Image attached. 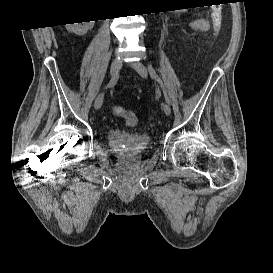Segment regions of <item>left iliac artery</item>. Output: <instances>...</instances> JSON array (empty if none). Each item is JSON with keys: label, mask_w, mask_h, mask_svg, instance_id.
<instances>
[{"label": "left iliac artery", "mask_w": 273, "mask_h": 273, "mask_svg": "<svg viewBox=\"0 0 273 273\" xmlns=\"http://www.w3.org/2000/svg\"><path fill=\"white\" fill-rule=\"evenodd\" d=\"M147 67H148V71H149V74H150L151 78L154 79V80H156L161 85V87L163 89L165 100L170 105V99H169V97L167 95V92H166V90H165V88L163 86V83H162L160 77L157 75L154 67L152 66L151 63H148Z\"/></svg>", "instance_id": "1"}]
</instances>
